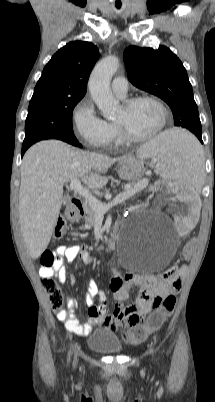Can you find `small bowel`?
I'll return each instance as SVG.
<instances>
[{
    "label": "small bowel",
    "mask_w": 215,
    "mask_h": 402,
    "mask_svg": "<svg viewBox=\"0 0 215 402\" xmlns=\"http://www.w3.org/2000/svg\"><path fill=\"white\" fill-rule=\"evenodd\" d=\"M54 254L56 262L53 267L46 268L42 266L39 270V274L43 279L56 277L61 283H64L68 279V271L64 266L65 261L71 262L77 256H80L85 264L93 261L86 247L80 245H71V248H66V245L58 246ZM110 268L114 273V278L109 284V289L116 300L118 302L126 300L129 296V288L133 285L140 288L136 303L124 308L118 305L115 312L109 315L106 293L99 288L93 279H90L88 281V292L85 296L86 304L89 306L87 320L84 323L78 320V303L71 297L68 299V310L57 315L69 332L79 336H87L96 324L109 330H114L118 327H131L153 308L156 297L174 296L180 290L184 279V270H180L176 276L171 278H166L162 275L156 277L135 273L121 277L117 272L115 263H111ZM70 283H74L73 276L70 277ZM95 297L99 299L98 306L94 305Z\"/></svg>",
    "instance_id": "small-bowel-1"
}]
</instances>
